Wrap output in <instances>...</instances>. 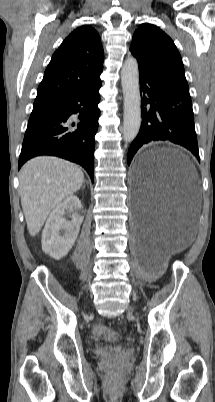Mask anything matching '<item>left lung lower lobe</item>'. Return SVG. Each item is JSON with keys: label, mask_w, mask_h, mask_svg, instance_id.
<instances>
[{"label": "left lung lower lobe", "mask_w": 215, "mask_h": 402, "mask_svg": "<svg viewBox=\"0 0 215 402\" xmlns=\"http://www.w3.org/2000/svg\"><path fill=\"white\" fill-rule=\"evenodd\" d=\"M139 79L142 123L128 150V165L142 145L154 141L181 145L200 161L191 99L147 73L139 72Z\"/></svg>", "instance_id": "1"}]
</instances>
